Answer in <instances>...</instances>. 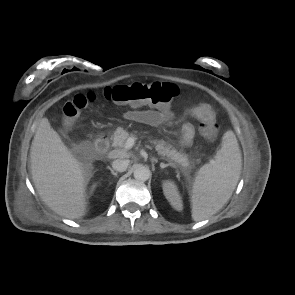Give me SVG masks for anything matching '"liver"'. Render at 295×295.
<instances>
[{
	"label": "liver",
	"instance_id": "1",
	"mask_svg": "<svg viewBox=\"0 0 295 295\" xmlns=\"http://www.w3.org/2000/svg\"><path fill=\"white\" fill-rule=\"evenodd\" d=\"M35 188L46 205L60 216L78 219L86 214L85 166L64 144L47 118L39 122L30 149Z\"/></svg>",
	"mask_w": 295,
	"mask_h": 295
}]
</instances>
